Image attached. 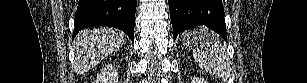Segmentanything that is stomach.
<instances>
[{
  "instance_id": "0dacf381",
  "label": "stomach",
  "mask_w": 307,
  "mask_h": 83,
  "mask_svg": "<svg viewBox=\"0 0 307 83\" xmlns=\"http://www.w3.org/2000/svg\"><path fill=\"white\" fill-rule=\"evenodd\" d=\"M192 33V31H189V32H186L183 37H182V41H183V44L189 48H192L193 47V43H192V40L191 38H189L190 34ZM185 37V39H184Z\"/></svg>"
}]
</instances>
